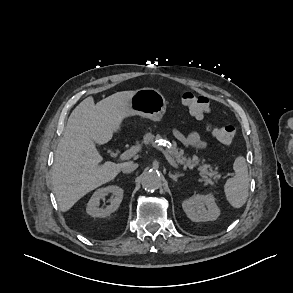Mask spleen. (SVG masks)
I'll use <instances>...</instances> for the list:
<instances>
[{
    "label": "spleen",
    "instance_id": "1",
    "mask_svg": "<svg viewBox=\"0 0 293 293\" xmlns=\"http://www.w3.org/2000/svg\"><path fill=\"white\" fill-rule=\"evenodd\" d=\"M233 170L234 176L226 181L224 192L231 206L241 208L247 201L249 190L248 168L243 156L235 159Z\"/></svg>",
    "mask_w": 293,
    "mask_h": 293
}]
</instances>
